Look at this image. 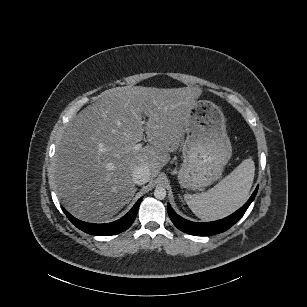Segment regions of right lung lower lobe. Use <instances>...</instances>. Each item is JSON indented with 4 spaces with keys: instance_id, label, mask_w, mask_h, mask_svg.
<instances>
[{
    "instance_id": "right-lung-lower-lobe-1",
    "label": "right lung lower lobe",
    "mask_w": 307,
    "mask_h": 307,
    "mask_svg": "<svg viewBox=\"0 0 307 307\" xmlns=\"http://www.w3.org/2000/svg\"><path fill=\"white\" fill-rule=\"evenodd\" d=\"M141 201L142 198H140L133 206V208L119 220L106 224H92V223L83 222L73 217L64 208L63 211L68 217V219L80 230L91 235L110 236L121 233L127 230L132 225V223L136 218Z\"/></svg>"
}]
</instances>
